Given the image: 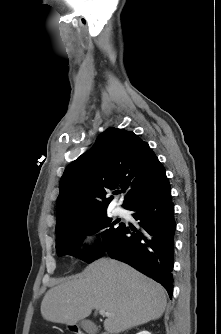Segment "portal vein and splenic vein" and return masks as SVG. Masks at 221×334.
<instances>
[{
	"mask_svg": "<svg viewBox=\"0 0 221 334\" xmlns=\"http://www.w3.org/2000/svg\"><path fill=\"white\" fill-rule=\"evenodd\" d=\"M99 314L102 315V316H110L111 315L110 313L106 312L104 309H100Z\"/></svg>",
	"mask_w": 221,
	"mask_h": 334,
	"instance_id": "portal-vein-and-splenic-vein-1",
	"label": "portal vein and splenic vein"
}]
</instances>
